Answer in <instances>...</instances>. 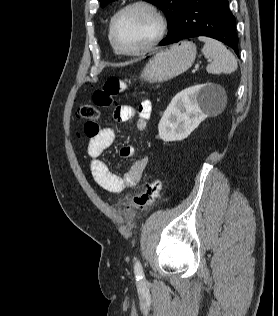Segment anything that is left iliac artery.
Masks as SVG:
<instances>
[{
  "label": "left iliac artery",
  "mask_w": 278,
  "mask_h": 316,
  "mask_svg": "<svg viewBox=\"0 0 278 316\" xmlns=\"http://www.w3.org/2000/svg\"><path fill=\"white\" fill-rule=\"evenodd\" d=\"M134 271H135V274L138 278L143 277V269H142V265H141L139 260H137L134 264Z\"/></svg>",
  "instance_id": "1"
}]
</instances>
